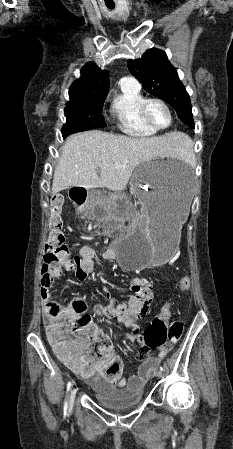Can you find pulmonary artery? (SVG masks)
Here are the masks:
<instances>
[{"label":"pulmonary artery","mask_w":233,"mask_h":449,"mask_svg":"<svg viewBox=\"0 0 233 449\" xmlns=\"http://www.w3.org/2000/svg\"><path fill=\"white\" fill-rule=\"evenodd\" d=\"M121 83L124 84H131V85H135V86H140L139 83L136 81V79H134L133 77L130 76H125L120 80Z\"/></svg>","instance_id":"1"}]
</instances>
